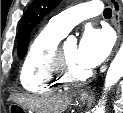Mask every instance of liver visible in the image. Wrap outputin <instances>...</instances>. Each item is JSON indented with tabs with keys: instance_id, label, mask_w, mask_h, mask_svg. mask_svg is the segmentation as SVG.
I'll use <instances>...</instances> for the list:
<instances>
[{
	"instance_id": "1",
	"label": "liver",
	"mask_w": 123,
	"mask_h": 113,
	"mask_svg": "<svg viewBox=\"0 0 123 113\" xmlns=\"http://www.w3.org/2000/svg\"><path fill=\"white\" fill-rule=\"evenodd\" d=\"M12 100L36 113H63L72 102V95L14 96Z\"/></svg>"
}]
</instances>
